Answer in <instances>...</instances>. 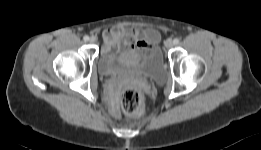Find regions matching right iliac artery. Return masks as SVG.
Here are the masks:
<instances>
[{"label":"right iliac artery","mask_w":261,"mask_h":150,"mask_svg":"<svg viewBox=\"0 0 261 150\" xmlns=\"http://www.w3.org/2000/svg\"><path fill=\"white\" fill-rule=\"evenodd\" d=\"M83 39H84V41H88L89 37L88 36H84Z\"/></svg>","instance_id":"1"}]
</instances>
